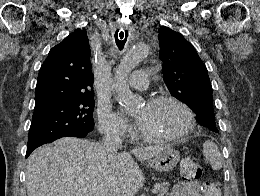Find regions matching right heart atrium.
Returning a JSON list of instances; mask_svg holds the SVG:
<instances>
[{"label":"right heart atrium","instance_id":"right-heart-atrium-1","mask_svg":"<svg viewBox=\"0 0 260 196\" xmlns=\"http://www.w3.org/2000/svg\"><path fill=\"white\" fill-rule=\"evenodd\" d=\"M98 120L99 128L104 133H108L113 130L130 129V125L127 120L121 113L115 111L111 104H104L98 109Z\"/></svg>","mask_w":260,"mask_h":196}]
</instances>
